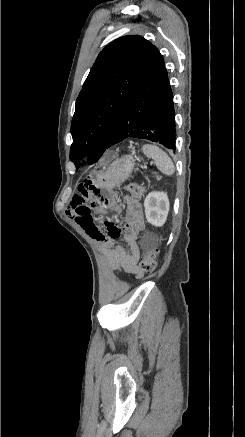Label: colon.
<instances>
[{
    "mask_svg": "<svg viewBox=\"0 0 245 437\" xmlns=\"http://www.w3.org/2000/svg\"><path fill=\"white\" fill-rule=\"evenodd\" d=\"M126 191L128 193V195L133 199V200H139L141 198V196L143 195V188L142 186L138 185V184H130L126 187ZM158 254V248L156 246H153L152 248H150L143 260L141 261L140 264V269L145 272V273H152L157 266V262H156V257Z\"/></svg>",
    "mask_w": 245,
    "mask_h": 437,
    "instance_id": "1",
    "label": "colon"
}]
</instances>
